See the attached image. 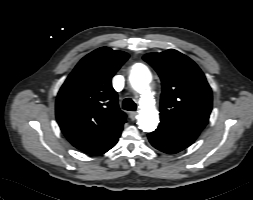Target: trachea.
<instances>
[{
    "label": "trachea",
    "instance_id": "3493384b",
    "mask_svg": "<svg viewBox=\"0 0 253 200\" xmlns=\"http://www.w3.org/2000/svg\"><path fill=\"white\" fill-rule=\"evenodd\" d=\"M122 106H123V109L127 110V111H135L136 110V104L130 98H126L123 101V105Z\"/></svg>",
    "mask_w": 253,
    "mask_h": 200
}]
</instances>
